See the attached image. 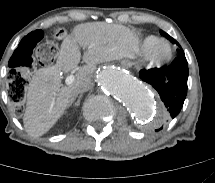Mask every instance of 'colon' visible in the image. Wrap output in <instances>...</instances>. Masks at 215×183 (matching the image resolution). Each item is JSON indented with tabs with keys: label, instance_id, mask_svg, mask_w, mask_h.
Instances as JSON below:
<instances>
[{
	"label": "colon",
	"instance_id": "5ec220e1",
	"mask_svg": "<svg viewBox=\"0 0 215 183\" xmlns=\"http://www.w3.org/2000/svg\"><path fill=\"white\" fill-rule=\"evenodd\" d=\"M66 29L60 24L52 28H41L30 33L26 42L18 47V53L12 60L8 89L14 105L20 104L25 96L27 79L23 75L30 65L48 67L54 61L66 36Z\"/></svg>",
	"mask_w": 215,
	"mask_h": 183
}]
</instances>
